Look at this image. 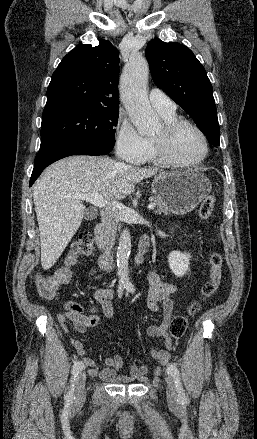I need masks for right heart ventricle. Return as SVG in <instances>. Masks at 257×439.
I'll return each mask as SVG.
<instances>
[{
	"instance_id": "obj_1",
	"label": "right heart ventricle",
	"mask_w": 257,
	"mask_h": 439,
	"mask_svg": "<svg viewBox=\"0 0 257 439\" xmlns=\"http://www.w3.org/2000/svg\"><path fill=\"white\" fill-rule=\"evenodd\" d=\"M165 122H171L176 120L175 114L173 115H161ZM147 140V151L144 157L136 163H146V162H158L160 158L155 148L153 137L146 138Z\"/></svg>"
}]
</instances>
